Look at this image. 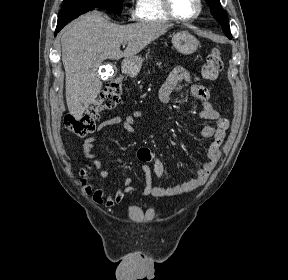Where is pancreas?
Masks as SVG:
<instances>
[{
    "instance_id": "obj_1",
    "label": "pancreas",
    "mask_w": 288,
    "mask_h": 280,
    "mask_svg": "<svg viewBox=\"0 0 288 280\" xmlns=\"http://www.w3.org/2000/svg\"><path fill=\"white\" fill-rule=\"evenodd\" d=\"M157 65H159V66H160V65H161V63H158Z\"/></svg>"
}]
</instances>
